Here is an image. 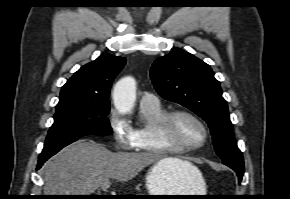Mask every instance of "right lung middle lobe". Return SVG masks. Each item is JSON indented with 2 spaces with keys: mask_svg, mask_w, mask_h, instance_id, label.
<instances>
[{
  "mask_svg": "<svg viewBox=\"0 0 290 199\" xmlns=\"http://www.w3.org/2000/svg\"><path fill=\"white\" fill-rule=\"evenodd\" d=\"M109 111L110 104L56 108L42 153L62 149L85 135H110Z\"/></svg>",
  "mask_w": 290,
  "mask_h": 199,
  "instance_id": "obj_1",
  "label": "right lung middle lobe"
}]
</instances>
